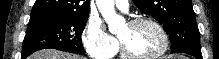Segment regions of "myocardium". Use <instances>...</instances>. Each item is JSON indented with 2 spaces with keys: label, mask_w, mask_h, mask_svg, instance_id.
Segmentation results:
<instances>
[{
  "label": "myocardium",
  "mask_w": 219,
  "mask_h": 59,
  "mask_svg": "<svg viewBox=\"0 0 219 59\" xmlns=\"http://www.w3.org/2000/svg\"><path fill=\"white\" fill-rule=\"evenodd\" d=\"M141 24H149L153 26L157 32L160 34L161 39H162V45L161 47L154 53L147 55V56H137L132 53H130L127 48L124 46L122 41L119 39L118 45L120 49L121 56L125 59H158L161 56H163L169 48L170 40H169V35L164 29V27L156 20L148 17H140V18H135L131 20L128 25L130 26H137Z\"/></svg>",
  "instance_id": "obj_1"
}]
</instances>
